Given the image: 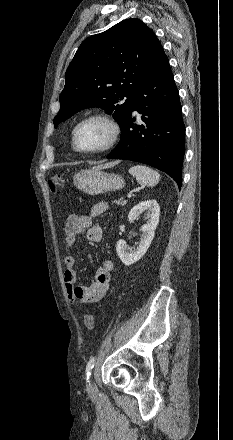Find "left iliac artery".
Here are the masks:
<instances>
[{"instance_id":"1","label":"left iliac artery","mask_w":233,"mask_h":440,"mask_svg":"<svg viewBox=\"0 0 233 440\" xmlns=\"http://www.w3.org/2000/svg\"><path fill=\"white\" fill-rule=\"evenodd\" d=\"M96 357H92L86 366V380L88 381L91 375V371L95 365ZM89 382V381H88Z\"/></svg>"}]
</instances>
